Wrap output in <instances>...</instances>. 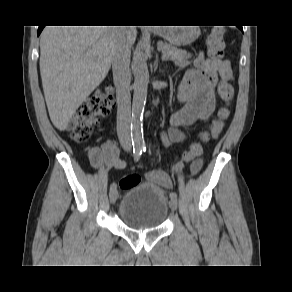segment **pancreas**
I'll return each instance as SVG.
<instances>
[{
    "mask_svg": "<svg viewBox=\"0 0 292 292\" xmlns=\"http://www.w3.org/2000/svg\"><path fill=\"white\" fill-rule=\"evenodd\" d=\"M157 45L158 48L162 51L163 55H166L173 61H182L191 57V54L187 53L186 50L178 49L171 44L159 41Z\"/></svg>",
    "mask_w": 292,
    "mask_h": 292,
    "instance_id": "cf45deb5",
    "label": "pancreas"
}]
</instances>
